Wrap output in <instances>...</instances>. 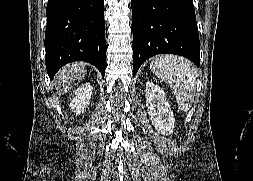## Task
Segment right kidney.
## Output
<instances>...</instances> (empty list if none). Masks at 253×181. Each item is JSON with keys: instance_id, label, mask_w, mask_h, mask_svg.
I'll list each match as a JSON object with an SVG mask.
<instances>
[{"instance_id": "right-kidney-1", "label": "right kidney", "mask_w": 253, "mask_h": 181, "mask_svg": "<svg viewBox=\"0 0 253 181\" xmlns=\"http://www.w3.org/2000/svg\"><path fill=\"white\" fill-rule=\"evenodd\" d=\"M93 87L89 83H85L75 91V97L70 103V107L76 115L84 113V109L89 105Z\"/></svg>"}]
</instances>
